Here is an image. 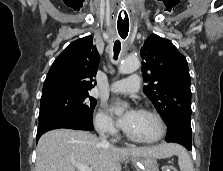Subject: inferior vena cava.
<instances>
[{
  "label": "inferior vena cava",
  "instance_id": "602c4592",
  "mask_svg": "<svg viewBox=\"0 0 223 171\" xmlns=\"http://www.w3.org/2000/svg\"><path fill=\"white\" fill-rule=\"evenodd\" d=\"M100 139L103 144H106V145L109 144V142L106 140V136L104 135V133L101 134Z\"/></svg>",
  "mask_w": 223,
  "mask_h": 171
}]
</instances>
